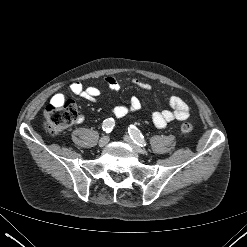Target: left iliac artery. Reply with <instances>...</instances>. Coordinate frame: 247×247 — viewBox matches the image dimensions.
<instances>
[{"label":"left iliac artery","mask_w":247,"mask_h":247,"mask_svg":"<svg viewBox=\"0 0 247 247\" xmlns=\"http://www.w3.org/2000/svg\"><path fill=\"white\" fill-rule=\"evenodd\" d=\"M129 135L131 139L139 146H146V141L141 134L140 130H138L134 125H130L128 128Z\"/></svg>","instance_id":"1"}]
</instances>
